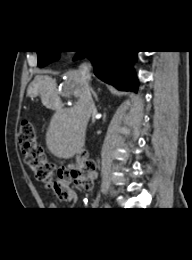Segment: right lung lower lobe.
I'll use <instances>...</instances> for the list:
<instances>
[{"label":"right lung lower lobe","instance_id":"1","mask_svg":"<svg viewBox=\"0 0 192 260\" xmlns=\"http://www.w3.org/2000/svg\"><path fill=\"white\" fill-rule=\"evenodd\" d=\"M138 51H80L74 57L91 60L95 75L119 90L137 91L138 83L134 75L133 63Z\"/></svg>","mask_w":192,"mask_h":260}]
</instances>
